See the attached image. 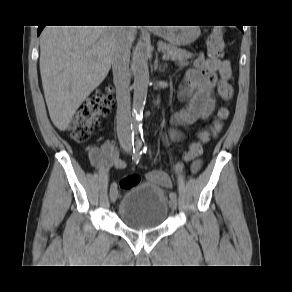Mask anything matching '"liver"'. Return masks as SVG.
Segmentation results:
<instances>
[{"label":"liver","mask_w":292,"mask_h":292,"mask_svg":"<svg viewBox=\"0 0 292 292\" xmlns=\"http://www.w3.org/2000/svg\"><path fill=\"white\" fill-rule=\"evenodd\" d=\"M118 34L117 26H46L42 31L40 74L51 121L59 130L67 129L83 101L106 78Z\"/></svg>","instance_id":"1"}]
</instances>
